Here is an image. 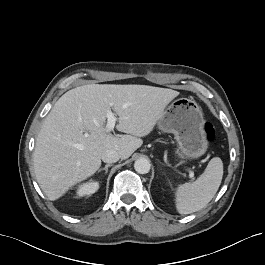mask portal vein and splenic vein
Listing matches in <instances>:
<instances>
[{
	"label": "portal vein and splenic vein",
	"mask_w": 265,
	"mask_h": 265,
	"mask_svg": "<svg viewBox=\"0 0 265 265\" xmlns=\"http://www.w3.org/2000/svg\"><path fill=\"white\" fill-rule=\"evenodd\" d=\"M116 121H118V118L114 116L111 110H109L107 112V124H106V130L108 132L114 129ZM189 177L193 179L194 173L192 171L189 172Z\"/></svg>",
	"instance_id": "obj_1"
}]
</instances>
